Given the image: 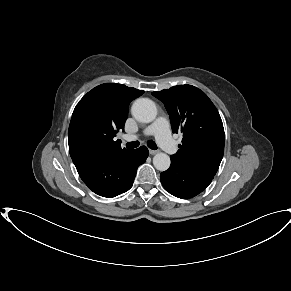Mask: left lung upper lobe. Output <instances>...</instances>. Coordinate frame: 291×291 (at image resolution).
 <instances>
[{
	"label": "left lung upper lobe",
	"instance_id": "obj_1",
	"mask_svg": "<svg viewBox=\"0 0 291 291\" xmlns=\"http://www.w3.org/2000/svg\"><path fill=\"white\" fill-rule=\"evenodd\" d=\"M152 95L164 103L172 131L183 133L180 149L170 158L195 173L214 177L223 157L225 134L211 100L191 85L174 86Z\"/></svg>",
	"mask_w": 291,
	"mask_h": 291
}]
</instances>
